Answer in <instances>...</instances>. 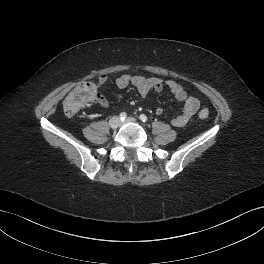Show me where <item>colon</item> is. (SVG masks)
Returning <instances> with one entry per match:
<instances>
[{
	"label": "colon",
	"mask_w": 264,
	"mask_h": 264,
	"mask_svg": "<svg viewBox=\"0 0 264 264\" xmlns=\"http://www.w3.org/2000/svg\"><path fill=\"white\" fill-rule=\"evenodd\" d=\"M98 92V87L93 82H82L77 85L67 96L63 103L64 112L67 115H75L81 108L95 100ZM209 116L207 109H202L199 112L201 119H206Z\"/></svg>",
	"instance_id": "colon-1"
}]
</instances>
